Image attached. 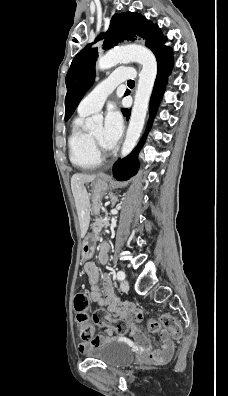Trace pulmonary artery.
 <instances>
[{
	"instance_id": "1",
	"label": "pulmonary artery",
	"mask_w": 228,
	"mask_h": 396,
	"mask_svg": "<svg viewBox=\"0 0 228 396\" xmlns=\"http://www.w3.org/2000/svg\"><path fill=\"white\" fill-rule=\"evenodd\" d=\"M136 72L133 68L122 67L99 82L80 102L78 112L91 114L101 109L108 95L116 86L126 80L133 79Z\"/></svg>"
}]
</instances>
